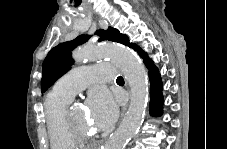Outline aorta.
I'll return each instance as SVG.
<instances>
[{"label": "aorta", "mask_w": 227, "mask_h": 149, "mask_svg": "<svg viewBox=\"0 0 227 149\" xmlns=\"http://www.w3.org/2000/svg\"><path fill=\"white\" fill-rule=\"evenodd\" d=\"M73 57L76 62L108 57L123 72L130 86V105L122 123L110 136L104 149H124L138 131L147 105L148 77L144 66L130 49L115 44L85 46L75 51Z\"/></svg>", "instance_id": "762f6f07"}]
</instances>
